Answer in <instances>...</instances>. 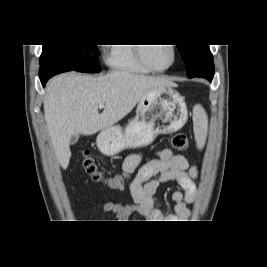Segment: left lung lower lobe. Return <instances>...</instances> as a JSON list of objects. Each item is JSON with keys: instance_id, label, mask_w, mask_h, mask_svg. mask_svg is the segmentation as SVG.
<instances>
[{"instance_id": "1", "label": "left lung lower lobe", "mask_w": 267, "mask_h": 267, "mask_svg": "<svg viewBox=\"0 0 267 267\" xmlns=\"http://www.w3.org/2000/svg\"><path fill=\"white\" fill-rule=\"evenodd\" d=\"M214 72H215L214 68H206L200 71L198 74H196L195 77H202L211 81L213 79Z\"/></svg>"}]
</instances>
